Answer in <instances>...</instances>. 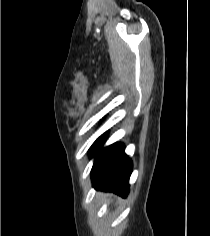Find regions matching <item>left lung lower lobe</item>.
<instances>
[{
    "label": "left lung lower lobe",
    "mask_w": 210,
    "mask_h": 236,
    "mask_svg": "<svg viewBox=\"0 0 210 236\" xmlns=\"http://www.w3.org/2000/svg\"><path fill=\"white\" fill-rule=\"evenodd\" d=\"M106 133L100 136L90 148L95 160L91 171L93 186L98 190L112 191L126 197L129 191V178L132 162L124 153V145L114 143L101 149Z\"/></svg>",
    "instance_id": "obj_1"
}]
</instances>
